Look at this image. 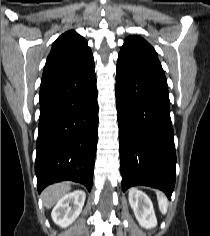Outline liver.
<instances>
[{
    "instance_id": "liver-1",
    "label": "liver",
    "mask_w": 210,
    "mask_h": 236,
    "mask_svg": "<svg viewBox=\"0 0 210 236\" xmlns=\"http://www.w3.org/2000/svg\"><path fill=\"white\" fill-rule=\"evenodd\" d=\"M70 184L67 182L57 183L47 187L42 193L44 206L49 209L70 191Z\"/></svg>"
}]
</instances>
